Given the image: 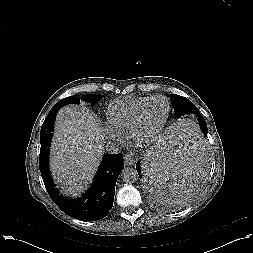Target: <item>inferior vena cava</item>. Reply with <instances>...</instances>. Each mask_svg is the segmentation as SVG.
Instances as JSON below:
<instances>
[{"instance_id":"inferior-vena-cava-1","label":"inferior vena cava","mask_w":253,"mask_h":253,"mask_svg":"<svg viewBox=\"0 0 253 253\" xmlns=\"http://www.w3.org/2000/svg\"><path fill=\"white\" fill-rule=\"evenodd\" d=\"M121 147H119V145H117L115 142L109 141L106 144V151L112 154H116L118 152H120Z\"/></svg>"}]
</instances>
